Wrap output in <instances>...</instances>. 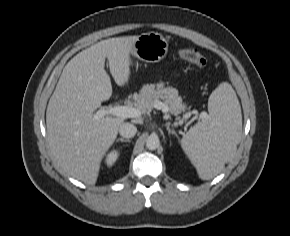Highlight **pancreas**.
<instances>
[{
	"instance_id": "pancreas-1",
	"label": "pancreas",
	"mask_w": 290,
	"mask_h": 236,
	"mask_svg": "<svg viewBox=\"0 0 290 236\" xmlns=\"http://www.w3.org/2000/svg\"><path fill=\"white\" fill-rule=\"evenodd\" d=\"M159 99H162L169 107L171 114H180L186 108L178 95V90L165 87L163 83L144 85L136 99V104L143 112H148L153 108L154 102Z\"/></svg>"
}]
</instances>
